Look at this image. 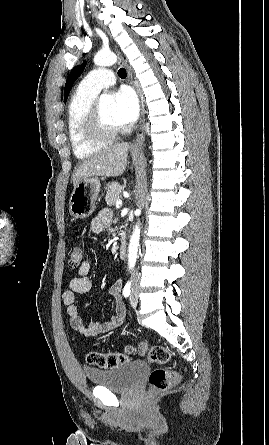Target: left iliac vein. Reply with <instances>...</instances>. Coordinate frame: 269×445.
<instances>
[{
    "instance_id": "left-iliac-vein-1",
    "label": "left iliac vein",
    "mask_w": 269,
    "mask_h": 445,
    "mask_svg": "<svg viewBox=\"0 0 269 445\" xmlns=\"http://www.w3.org/2000/svg\"><path fill=\"white\" fill-rule=\"evenodd\" d=\"M129 300H130V304H131L132 307H135L137 305L138 297H137L136 289H133Z\"/></svg>"
}]
</instances>
